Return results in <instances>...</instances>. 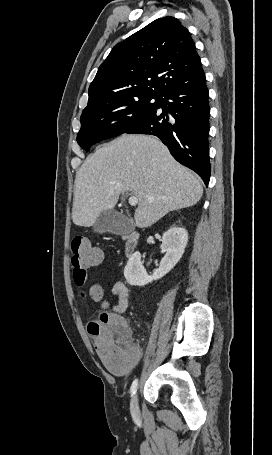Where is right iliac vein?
Instances as JSON below:
<instances>
[{
    "instance_id": "63e3f726",
    "label": "right iliac vein",
    "mask_w": 272,
    "mask_h": 455,
    "mask_svg": "<svg viewBox=\"0 0 272 455\" xmlns=\"http://www.w3.org/2000/svg\"><path fill=\"white\" fill-rule=\"evenodd\" d=\"M130 409H131V413L133 416H137L139 414L138 395L137 394H134V396L132 397Z\"/></svg>"
}]
</instances>
